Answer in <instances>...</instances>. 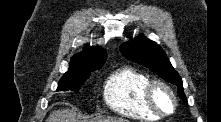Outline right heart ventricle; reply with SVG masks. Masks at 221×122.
<instances>
[{
	"mask_svg": "<svg viewBox=\"0 0 221 122\" xmlns=\"http://www.w3.org/2000/svg\"><path fill=\"white\" fill-rule=\"evenodd\" d=\"M150 81L148 75L131 66L113 71L106 79L103 97L115 113L134 119L155 121L160 118L147 105L144 90Z\"/></svg>",
	"mask_w": 221,
	"mask_h": 122,
	"instance_id": "1",
	"label": "right heart ventricle"
}]
</instances>
